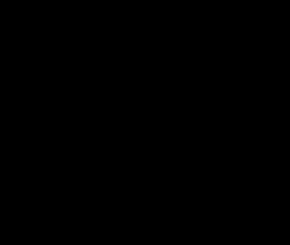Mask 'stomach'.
I'll list each match as a JSON object with an SVG mask.
<instances>
[{
    "mask_svg": "<svg viewBox=\"0 0 290 245\" xmlns=\"http://www.w3.org/2000/svg\"><path fill=\"white\" fill-rule=\"evenodd\" d=\"M131 16H135V15H138V14H145V15H152V14H155L156 12L152 11V10H143V11H129L128 12Z\"/></svg>",
    "mask_w": 290,
    "mask_h": 245,
    "instance_id": "1",
    "label": "stomach"
}]
</instances>
